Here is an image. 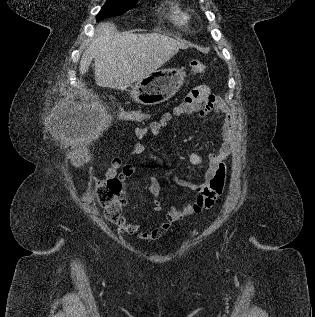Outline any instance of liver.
<instances>
[{
	"label": "liver",
	"mask_w": 315,
	"mask_h": 317,
	"mask_svg": "<svg viewBox=\"0 0 315 317\" xmlns=\"http://www.w3.org/2000/svg\"><path fill=\"white\" fill-rule=\"evenodd\" d=\"M186 42L160 33H120L110 22L100 23L96 36L81 57L79 72H88L94 59L95 82L121 88L138 82L169 61Z\"/></svg>",
	"instance_id": "1"
}]
</instances>
